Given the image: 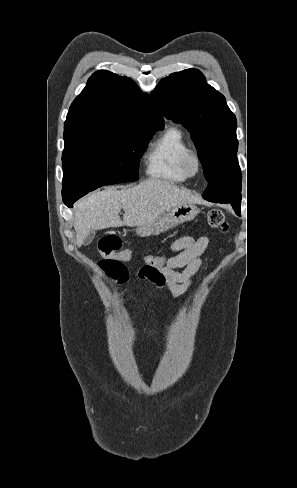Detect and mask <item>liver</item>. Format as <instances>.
I'll return each mask as SVG.
<instances>
[{"mask_svg": "<svg viewBox=\"0 0 297 488\" xmlns=\"http://www.w3.org/2000/svg\"><path fill=\"white\" fill-rule=\"evenodd\" d=\"M198 201L186 190L158 179H148L128 189L110 187L92 192L75 205L77 245L80 247L84 244L91 230L140 226L174 206ZM121 209L125 211L123 221L119 216Z\"/></svg>", "mask_w": 297, "mask_h": 488, "instance_id": "6515ba94", "label": "liver"}]
</instances>
